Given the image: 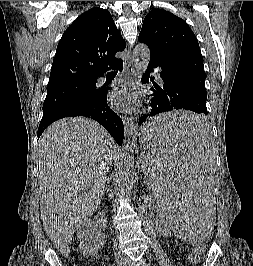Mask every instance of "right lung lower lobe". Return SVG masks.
Wrapping results in <instances>:
<instances>
[{
	"mask_svg": "<svg viewBox=\"0 0 253 266\" xmlns=\"http://www.w3.org/2000/svg\"><path fill=\"white\" fill-rule=\"evenodd\" d=\"M114 69L122 70L123 63H118ZM97 81V80H96ZM69 116H86L99 122L114 138L118 145H122L124 137V126L122 119L113 112L107 104V90L100 89L98 99L90 106L77 112L54 117L51 121H41L38 128V138L42 132L54 121Z\"/></svg>",
	"mask_w": 253,
	"mask_h": 266,
	"instance_id": "1",
	"label": "right lung lower lobe"
}]
</instances>
